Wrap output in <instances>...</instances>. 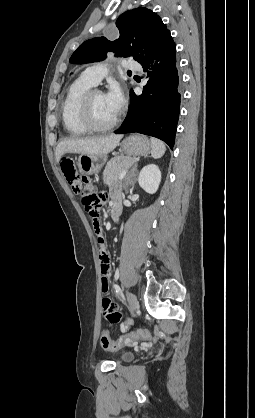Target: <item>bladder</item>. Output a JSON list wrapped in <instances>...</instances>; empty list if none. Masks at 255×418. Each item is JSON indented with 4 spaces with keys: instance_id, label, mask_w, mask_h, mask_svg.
Returning a JSON list of instances; mask_svg holds the SVG:
<instances>
[{
    "instance_id": "bladder-1",
    "label": "bladder",
    "mask_w": 255,
    "mask_h": 418,
    "mask_svg": "<svg viewBox=\"0 0 255 418\" xmlns=\"http://www.w3.org/2000/svg\"><path fill=\"white\" fill-rule=\"evenodd\" d=\"M134 358V353L129 350H123L118 353V360L122 362L131 361Z\"/></svg>"
}]
</instances>
